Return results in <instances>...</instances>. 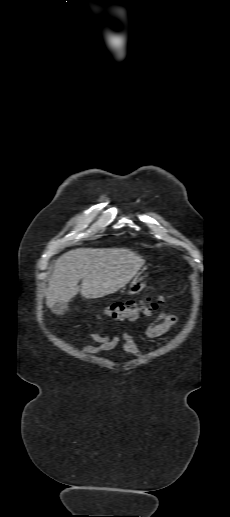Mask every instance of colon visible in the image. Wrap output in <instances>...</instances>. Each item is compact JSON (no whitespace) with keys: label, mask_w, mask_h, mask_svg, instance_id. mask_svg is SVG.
Wrapping results in <instances>:
<instances>
[{"label":"colon","mask_w":230,"mask_h":517,"mask_svg":"<svg viewBox=\"0 0 230 517\" xmlns=\"http://www.w3.org/2000/svg\"><path fill=\"white\" fill-rule=\"evenodd\" d=\"M161 303H163L162 295L145 298L139 302L118 301L106 306L104 313L107 317L114 320L133 321L138 319L141 315H150Z\"/></svg>","instance_id":"1"}]
</instances>
